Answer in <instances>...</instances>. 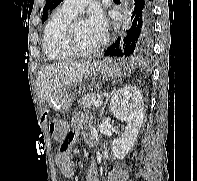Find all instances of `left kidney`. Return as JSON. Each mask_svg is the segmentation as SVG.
<instances>
[{
  "label": "left kidney",
  "mask_w": 197,
  "mask_h": 181,
  "mask_svg": "<svg viewBox=\"0 0 197 181\" xmlns=\"http://www.w3.org/2000/svg\"><path fill=\"white\" fill-rule=\"evenodd\" d=\"M110 111L116 118L127 122L125 132L119 139H114L111 146L114 157L124 159L133 148L144 121L141 91L132 86L120 88L112 97Z\"/></svg>",
  "instance_id": "1"
}]
</instances>
